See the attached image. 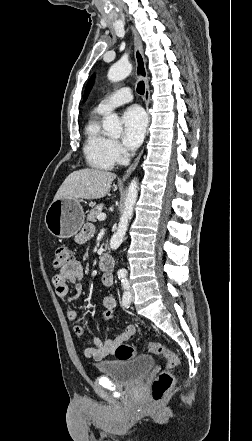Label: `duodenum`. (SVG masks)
Listing matches in <instances>:
<instances>
[{
  "label": "duodenum",
  "instance_id": "1",
  "mask_svg": "<svg viewBox=\"0 0 252 441\" xmlns=\"http://www.w3.org/2000/svg\"><path fill=\"white\" fill-rule=\"evenodd\" d=\"M99 266L105 273H110L114 267V260L109 254L103 252L99 256Z\"/></svg>",
  "mask_w": 252,
  "mask_h": 441
}]
</instances>
